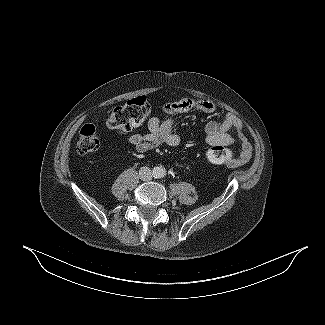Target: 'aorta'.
I'll return each instance as SVG.
<instances>
[{
    "mask_svg": "<svg viewBox=\"0 0 325 325\" xmlns=\"http://www.w3.org/2000/svg\"><path fill=\"white\" fill-rule=\"evenodd\" d=\"M153 172H154V176L156 178H162V177H164L166 175V170L162 166L155 167Z\"/></svg>",
    "mask_w": 325,
    "mask_h": 325,
    "instance_id": "obj_1",
    "label": "aorta"
}]
</instances>
